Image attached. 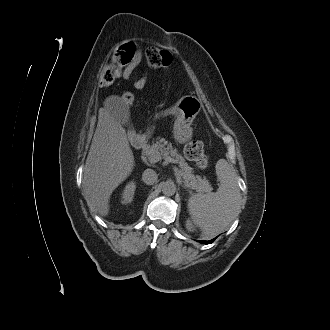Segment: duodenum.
Instances as JSON below:
<instances>
[{"label":"duodenum","mask_w":330,"mask_h":330,"mask_svg":"<svg viewBox=\"0 0 330 330\" xmlns=\"http://www.w3.org/2000/svg\"><path fill=\"white\" fill-rule=\"evenodd\" d=\"M146 136L147 134H139V133H136L135 131H130L129 132V139L132 143L133 146L137 147V148H140L145 140H146Z\"/></svg>","instance_id":"duodenum-1"}]
</instances>
